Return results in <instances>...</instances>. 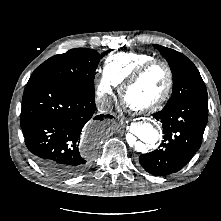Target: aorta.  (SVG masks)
I'll return each instance as SVG.
<instances>
[{
  "mask_svg": "<svg viewBox=\"0 0 221 221\" xmlns=\"http://www.w3.org/2000/svg\"><path fill=\"white\" fill-rule=\"evenodd\" d=\"M132 132L142 141V142L139 140L136 141L132 137V135L128 136L129 145L134 147V149L138 152L146 151V146L144 143L155 144L158 141L159 133L151 123L148 122L136 123L132 127Z\"/></svg>",
  "mask_w": 221,
  "mask_h": 221,
  "instance_id": "762f6f07",
  "label": "aorta"
}]
</instances>
